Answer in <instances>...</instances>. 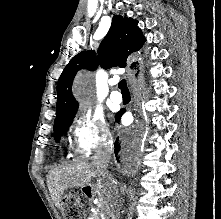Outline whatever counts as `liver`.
Segmentation results:
<instances>
[{
  "label": "liver",
  "instance_id": "6515ba94",
  "mask_svg": "<svg viewBox=\"0 0 221 219\" xmlns=\"http://www.w3.org/2000/svg\"><path fill=\"white\" fill-rule=\"evenodd\" d=\"M92 178L97 179L95 193L100 200L99 206L103 208L106 215L113 207L115 189L118 190L119 183L112 176L110 178L99 176L93 162L73 161L50 170L47 175V186L55 206L58 209L61 208L65 190L83 188L91 183Z\"/></svg>",
  "mask_w": 221,
  "mask_h": 219
}]
</instances>
